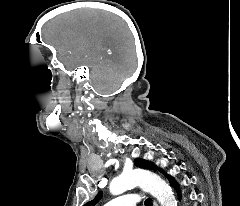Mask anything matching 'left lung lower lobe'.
<instances>
[{
  "label": "left lung lower lobe",
  "mask_w": 240,
  "mask_h": 206,
  "mask_svg": "<svg viewBox=\"0 0 240 206\" xmlns=\"http://www.w3.org/2000/svg\"><path fill=\"white\" fill-rule=\"evenodd\" d=\"M164 174H165V173H164ZM165 175H166V174H165ZM167 177H168L171 185H172V186L174 187V189L178 192V196H179V198H180V190H179L178 184H177L172 178H170L169 176H167Z\"/></svg>",
  "instance_id": "0a47b994"
}]
</instances>
